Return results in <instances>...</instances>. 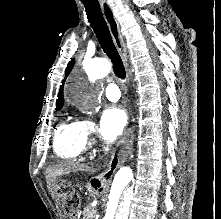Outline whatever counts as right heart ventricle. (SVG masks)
<instances>
[{"mask_svg":"<svg viewBox=\"0 0 221 219\" xmlns=\"http://www.w3.org/2000/svg\"><path fill=\"white\" fill-rule=\"evenodd\" d=\"M53 148L65 161H75L86 149L81 123L77 120L62 123L55 132Z\"/></svg>","mask_w":221,"mask_h":219,"instance_id":"e07e8e85","label":"right heart ventricle"}]
</instances>
